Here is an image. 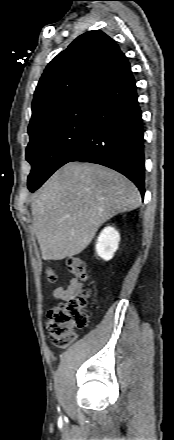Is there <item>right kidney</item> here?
Masks as SVG:
<instances>
[{
    "mask_svg": "<svg viewBox=\"0 0 174 440\" xmlns=\"http://www.w3.org/2000/svg\"><path fill=\"white\" fill-rule=\"evenodd\" d=\"M119 241V232L114 227H105L97 239L95 246L97 255L106 261L112 259L118 249Z\"/></svg>",
    "mask_w": 174,
    "mask_h": 440,
    "instance_id": "obj_1",
    "label": "right kidney"
}]
</instances>
